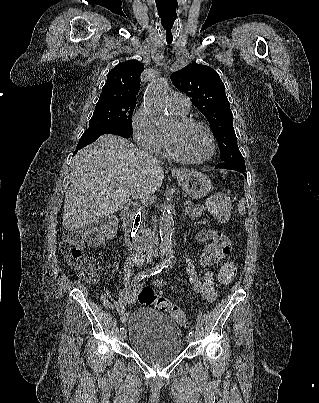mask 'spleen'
<instances>
[{
    "label": "spleen",
    "mask_w": 319,
    "mask_h": 403,
    "mask_svg": "<svg viewBox=\"0 0 319 403\" xmlns=\"http://www.w3.org/2000/svg\"><path fill=\"white\" fill-rule=\"evenodd\" d=\"M238 211H239V213L242 214V215L245 214V212H246V210H245V200H244V198H242V199L239 201Z\"/></svg>",
    "instance_id": "obj_1"
}]
</instances>
